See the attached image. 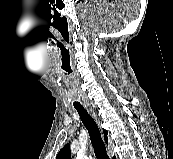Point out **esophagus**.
Here are the masks:
<instances>
[{
  "mask_svg": "<svg viewBox=\"0 0 173 159\" xmlns=\"http://www.w3.org/2000/svg\"><path fill=\"white\" fill-rule=\"evenodd\" d=\"M93 116H94L95 119L98 121V123H100V122H99V119H97V116H96L95 112H93Z\"/></svg>",
  "mask_w": 173,
  "mask_h": 159,
  "instance_id": "34e87169",
  "label": "esophagus"
}]
</instances>
